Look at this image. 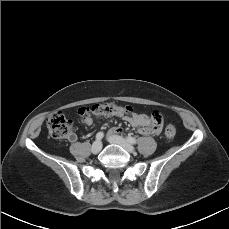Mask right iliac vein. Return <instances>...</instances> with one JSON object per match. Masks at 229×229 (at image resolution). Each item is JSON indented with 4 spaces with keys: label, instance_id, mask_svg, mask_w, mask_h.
<instances>
[{
    "label": "right iliac vein",
    "instance_id": "obj_1",
    "mask_svg": "<svg viewBox=\"0 0 229 229\" xmlns=\"http://www.w3.org/2000/svg\"><path fill=\"white\" fill-rule=\"evenodd\" d=\"M102 149V143L100 141H95L91 147V151L93 154H97Z\"/></svg>",
    "mask_w": 229,
    "mask_h": 229
}]
</instances>
